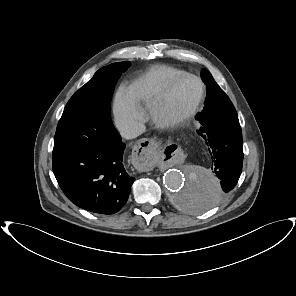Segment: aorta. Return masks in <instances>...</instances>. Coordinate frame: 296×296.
Returning <instances> with one entry per match:
<instances>
[{"label":"aorta","mask_w":296,"mask_h":296,"mask_svg":"<svg viewBox=\"0 0 296 296\" xmlns=\"http://www.w3.org/2000/svg\"><path fill=\"white\" fill-rule=\"evenodd\" d=\"M163 182L169 204L185 214L207 212L219 198V181L210 170L202 167L169 170Z\"/></svg>","instance_id":"obj_1"}]
</instances>
